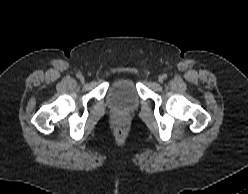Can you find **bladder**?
I'll use <instances>...</instances> for the list:
<instances>
[{"label": "bladder", "instance_id": "obj_1", "mask_svg": "<svg viewBox=\"0 0 248 194\" xmlns=\"http://www.w3.org/2000/svg\"><path fill=\"white\" fill-rule=\"evenodd\" d=\"M108 103L122 111H133L140 103L138 90L132 78L122 77L113 83L107 94Z\"/></svg>", "mask_w": 248, "mask_h": 194}]
</instances>
